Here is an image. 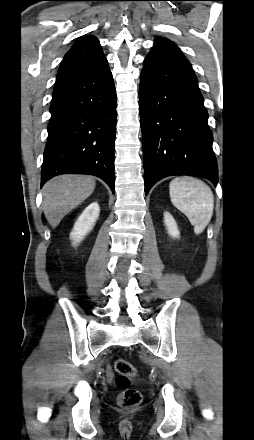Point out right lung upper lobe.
<instances>
[{"label":"right lung upper lobe","mask_w":254,"mask_h":440,"mask_svg":"<svg viewBox=\"0 0 254 440\" xmlns=\"http://www.w3.org/2000/svg\"><path fill=\"white\" fill-rule=\"evenodd\" d=\"M106 61L99 41L94 37L84 36L65 54L56 80L92 69Z\"/></svg>","instance_id":"cb5924a9"}]
</instances>
